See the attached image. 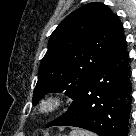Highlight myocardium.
<instances>
[{"instance_id": "obj_1", "label": "myocardium", "mask_w": 136, "mask_h": 136, "mask_svg": "<svg viewBox=\"0 0 136 136\" xmlns=\"http://www.w3.org/2000/svg\"><path fill=\"white\" fill-rule=\"evenodd\" d=\"M64 106V98L59 93H49L42 97L37 105L35 111L41 116H48L56 113Z\"/></svg>"}]
</instances>
